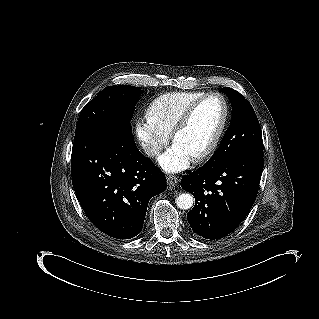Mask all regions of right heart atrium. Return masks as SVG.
<instances>
[{
  "instance_id": "obj_1",
  "label": "right heart atrium",
  "mask_w": 319,
  "mask_h": 319,
  "mask_svg": "<svg viewBox=\"0 0 319 319\" xmlns=\"http://www.w3.org/2000/svg\"><path fill=\"white\" fill-rule=\"evenodd\" d=\"M137 135L151 156H157L166 147L168 136L165 132L156 130L147 124L137 128Z\"/></svg>"
}]
</instances>
